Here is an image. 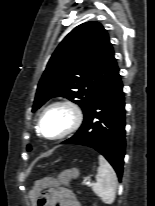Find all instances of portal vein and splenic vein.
<instances>
[{"mask_svg": "<svg viewBox=\"0 0 155 206\" xmlns=\"http://www.w3.org/2000/svg\"><path fill=\"white\" fill-rule=\"evenodd\" d=\"M82 184H83L84 186H90V185H91V183H89V182H82Z\"/></svg>", "mask_w": 155, "mask_h": 206, "instance_id": "obj_1", "label": "portal vein and splenic vein"}]
</instances>
